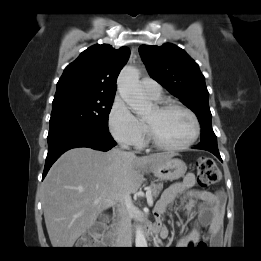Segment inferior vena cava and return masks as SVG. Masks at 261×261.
Wrapping results in <instances>:
<instances>
[{
  "mask_svg": "<svg viewBox=\"0 0 261 261\" xmlns=\"http://www.w3.org/2000/svg\"><path fill=\"white\" fill-rule=\"evenodd\" d=\"M122 148H126V147L124 146ZM130 203H131V198L129 195L118 200L116 211H117L119 227H118V236H117L116 243L117 246L119 247H131V219L128 210V205Z\"/></svg>",
  "mask_w": 261,
  "mask_h": 261,
  "instance_id": "1",
  "label": "inferior vena cava"
}]
</instances>
